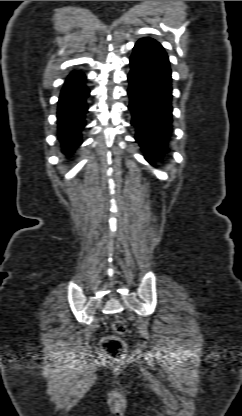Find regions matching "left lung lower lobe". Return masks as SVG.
Wrapping results in <instances>:
<instances>
[{"instance_id": "1", "label": "left lung lower lobe", "mask_w": 242, "mask_h": 416, "mask_svg": "<svg viewBox=\"0 0 242 416\" xmlns=\"http://www.w3.org/2000/svg\"><path fill=\"white\" fill-rule=\"evenodd\" d=\"M128 74L131 125L145 159L154 165L167 152L172 132V87L169 59L152 38L140 39L133 48Z\"/></svg>"}]
</instances>
